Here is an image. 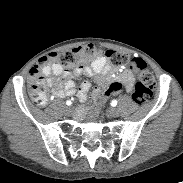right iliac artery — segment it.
<instances>
[{
    "label": "right iliac artery",
    "instance_id": "1",
    "mask_svg": "<svg viewBox=\"0 0 183 183\" xmlns=\"http://www.w3.org/2000/svg\"><path fill=\"white\" fill-rule=\"evenodd\" d=\"M66 104H67V105H71L72 102H71L70 100H68V101L66 102Z\"/></svg>",
    "mask_w": 183,
    "mask_h": 183
}]
</instances>
